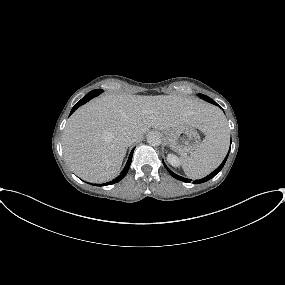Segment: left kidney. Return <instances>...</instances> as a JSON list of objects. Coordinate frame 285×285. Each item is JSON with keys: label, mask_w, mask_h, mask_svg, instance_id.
I'll return each mask as SVG.
<instances>
[{"label": "left kidney", "mask_w": 285, "mask_h": 285, "mask_svg": "<svg viewBox=\"0 0 285 285\" xmlns=\"http://www.w3.org/2000/svg\"><path fill=\"white\" fill-rule=\"evenodd\" d=\"M167 161L173 167H178L179 164H180L179 159L175 155H173V154H168L167 155Z\"/></svg>", "instance_id": "5707ae66"}]
</instances>
